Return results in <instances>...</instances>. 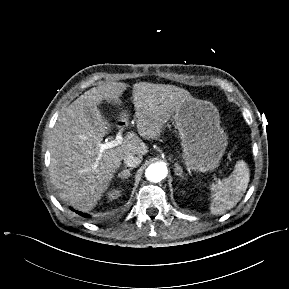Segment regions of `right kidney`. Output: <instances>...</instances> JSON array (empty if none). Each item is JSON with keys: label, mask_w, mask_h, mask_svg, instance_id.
Here are the masks:
<instances>
[{"label": "right kidney", "mask_w": 289, "mask_h": 289, "mask_svg": "<svg viewBox=\"0 0 289 289\" xmlns=\"http://www.w3.org/2000/svg\"><path fill=\"white\" fill-rule=\"evenodd\" d=\"M119 193H120V191H118V190H112L108 193V197L110 199H115L119 196Z\"/></svg>", "instance_id": "obj_1"}]
</instances>
